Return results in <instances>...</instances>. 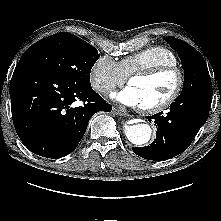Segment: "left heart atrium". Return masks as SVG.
Listing matches in <instances>:
<instances>
[{
    "instance_id": "obj_1",
    "label": "left heart atrium",
    "mask_w": 221,
    "mask_h": 221,
    "mask_svg": "<svg viewBox=\"0 0 221 221\" xmlns=\"http://www.w3.org/2000/svg\"><path fill=\"white\" fill-rule=\"evenodd\" d=\"M112 98L128 106H141L140 98L131 85L119 92L112 93Z\"/></svg>"
}]
</instances>
